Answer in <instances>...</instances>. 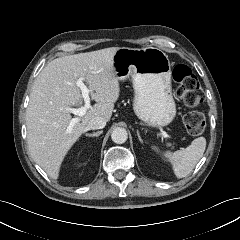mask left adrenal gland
I'll use <instances>...</instances> for the list:
<instances>
[{
    "label": "left adrenal gland",
    "mask_w": 240,
    "mask_h": 240,
    "mask_svg": "<svg viewBox=\"0 0 240 240\" xmlns=\"http://www.w3.org/2000/svg\"><path fill=\"white\" fill-rule=\"evenodd\" d=\"M137 136H138V138H139V141H140L141 143H143V140H142V138L140 137L139 131H137Z\"/></svg>",
    "instance_id": "obj_1"
}]
</instances>
